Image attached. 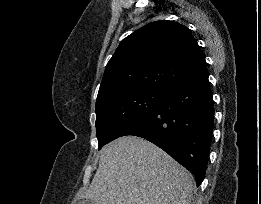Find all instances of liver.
I'll return each instance as SVG.
<instances>
[{"mask_svg":"<svg viewBox=\"0 0 261 204\" xmlns=\"http://www.w3.org/2000/svg\"><path fill=\"white\" fill-rule=\"evenodd\" d=\"M193 190V175L165 151L143 138L124 136L101 149L93 180L75 202L190 204Z\"/></svg>","mask_w":261,"mask_h":204,"instance_id":"liver-1","label":"liver"}]
</instances>
